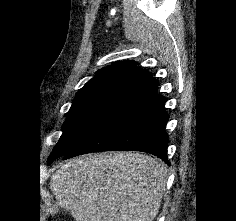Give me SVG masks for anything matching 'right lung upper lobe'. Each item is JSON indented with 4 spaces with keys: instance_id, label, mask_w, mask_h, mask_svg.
<instances>
[{
    "instance_id": "obj_1",
    "label": "right lung upper lobe",
    "mask_w": 236,
    "mask_h": 221,
    "mask_svg": "<svg viewBox=\"0 0 236 221\" xmlns=\"http://www.w3.org/2000/svg\"><path fill=\"white\" fill-rule=\"evenodd\" d=\"M157 82L150 72L139 69L134 61H122L99 70L75 98L105 92L137 94Z\"/></svg>"
}]
</instances>
